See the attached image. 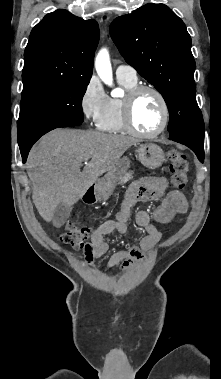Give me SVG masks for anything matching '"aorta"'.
I'll return each instance as SVG.
<instances>
[{"label": "aorta", "instance_id": "aorta-1", "mask_svg": "<svg viewBox=\"0 0 221 379\" xmlns=\"http://www.w3.org/2000/svg\"><path fill=\"white\" fill-rule=\"evenodd\" d=\"M95 67L97 74L101 78V80L111 86L112 85V68L110 63L109 53L106 49H102L95 60ZM119 89H115L112 93V96H118L120 94Z\"/></svg>", "mask_w": 221, "mask_h": 379}]
</instances>
